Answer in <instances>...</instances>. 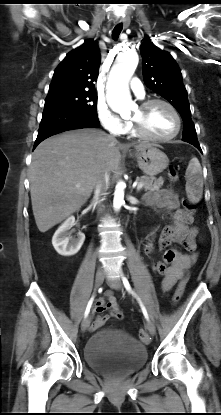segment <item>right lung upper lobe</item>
<instances>
[{
    "instance_id": "1",
    "label": "right lung upper lobe",
    "mask_w": 221,
    "mask_h": 415,
    "mask_svg": "<svg viewBox=\"0 0 221 415\" xmlns=\"http://www.w3.org/2000/svg\"><path fill=\"white\" fill-rule=\"evenodd\" d=\"M101 55L97 42L86 40L72 50L54 71L49 93L64 90L95 91Z\"/></svg>"
}]
</instances>
